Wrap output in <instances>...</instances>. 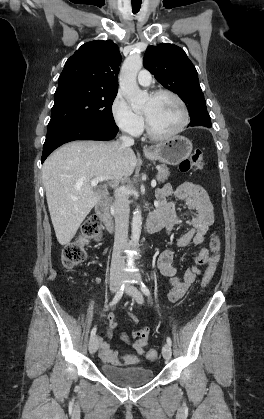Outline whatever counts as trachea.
<instances>
[{
    "label": "trachea",
    "mask_w": 264,
    "mask_h": 419,
    "mask_svg": "<svg viewBox=\"0 0 264 419\" xmlns=\"http://www.w3.org/2000/svg\"><path fill=\"white\" fill-rule=\"evenodd\" d=\"M140 8H141V3L140 4H135V3L133 4L132 3V11H133L134 14L138 13Z\"/></svg>",
    "instance_id": "1"
}]
</instances>
